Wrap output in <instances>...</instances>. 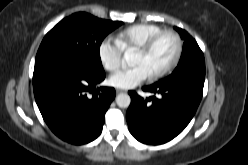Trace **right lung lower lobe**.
<instances>
[{
    "mask_svg": "<svg viewBox=\"0 0 248 165\" xmlns=\"http://www.w3.org/2000/svg\"><path fill=\"white\" fill-rule=\"evenodd\" d=\"M105 73L93 74L74 58H56L34 68L35 100L48 127L62 140L81 145L102 132L105 113L115 98V89L95 86Z\"/></svg>",
    "mask_w": 248,
    "mask_h": 165,
    "instance_id": "1",
    "label": "right lung lower lobe"
}]
</instances>
